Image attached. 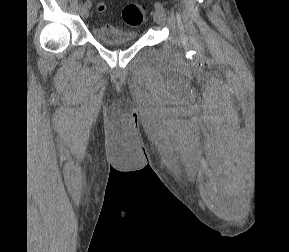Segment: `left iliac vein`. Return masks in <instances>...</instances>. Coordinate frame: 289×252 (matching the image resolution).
<instances>
[{"mask_svg":"<svg viewBox=\"0 0 289 252\" xmlns=\"http://www.w3.org/2000/svg\"><path fill=\"white\" fill-rule=\"evenodd\" d=\"M153 18L157 24L162 25L165 21V13L159 9H156L153 13Z\"/></svg>","mask_w":289,"mask_h":252,"instance_id":"1","label":"left iliac vein"}]
</instances>
